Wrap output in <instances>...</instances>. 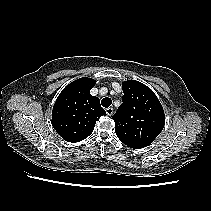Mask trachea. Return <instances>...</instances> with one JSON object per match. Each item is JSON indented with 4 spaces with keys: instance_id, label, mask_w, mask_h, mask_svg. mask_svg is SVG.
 I'll use <instances>...</instances> for the list:
<instances>
[{
    "instance_id": "3493384b",
    "label": "trachea",
    "mask_w": 211,
    "mask_h": 211,
    "mask_svg": "<svg viewBox=\"0 0 211 211\" xmlns=\"http://www.w3.org/2000/svg\"><path fill=\"white\" fill-rule=\"evenodd\" d=\"M101 104L103 107L108 108L112 104V100L108 97L103 98Z\"/></svg>"
}]
</instances>
